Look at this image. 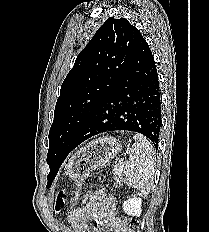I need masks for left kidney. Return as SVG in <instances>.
<instances>
[{
	"mask_svg": "<svg viewBox=\"0 0 209 232\" xmlns=\"http://www.w3.org/2000/svg\"><path fill=\"white\" fill-rule=\"evenodd\" d=\"M142 199L140 197H132L124 201L123 203V210L126 214L132 216H140L142 209Z\"/></svg>",
	"mask_w": 209,
	"mask_h": 232,
	"instance_id": "1",
	"label": "left kidney"
}]
</instances>
